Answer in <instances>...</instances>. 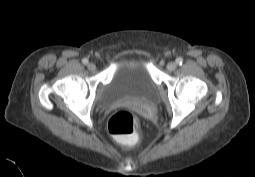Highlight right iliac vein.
Listing matches in <instances>:
<instances>
[{"label": "right iliac vein", "mask_w": 255, "mask_h": 177, "mask_svg": "<svg viewBox=\"0 0 255 177\" xmlns=\"http://www.w3.org/2000/svg\"><path fill=\"white\" fill-rule=\"evenodd\" d=\"M87 67H88V69H89L90 71H94V70L96 69V66H95L94 63H89Z\"/></svg>", "instance_id": "1"}]
</instances>
